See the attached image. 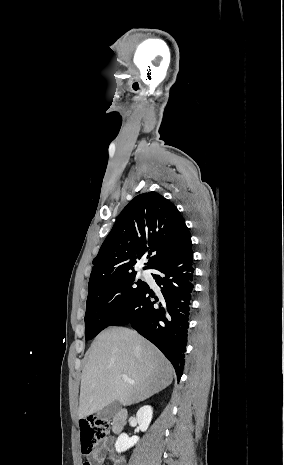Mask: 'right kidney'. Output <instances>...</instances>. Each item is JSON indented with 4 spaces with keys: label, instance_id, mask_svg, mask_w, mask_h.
<instances>
[{
    "label": "right kidney",
    "instance_id": "ca27d5eb",
    "mask_svg": "<svg viewBox=\"0 0 284 465\" xmlns=\"http://www.w3.org/2000/svg\"><path fill=\"white\" fill-rule=\"evenodd\" d=\"M136 419L140 427V431H142V433H144V431H147L152 419L151 407H149V405L141 407V409L137 411ZM138 441L139 437H128L126 433H122V435H119L115 443V449L117 453H123V451H127V449H130V447H134V445H136Z\"/></svg>",
    "mask_w": 284,
    "mask_h": 465
}]
</instances>
